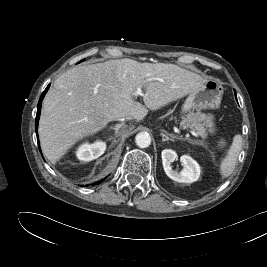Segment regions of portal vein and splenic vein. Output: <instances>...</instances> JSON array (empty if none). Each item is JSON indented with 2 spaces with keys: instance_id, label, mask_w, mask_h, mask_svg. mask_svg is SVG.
Instances as JSON below:
<instances>
[{
  "instance_id": "1",
  "label": "portal vein and splenic vein",
  "mask_w": 267,
  "mask_h": 267,
  "mask_svg": "<svg viewBox=\"0 0 267 267\" xmlns=\"http://www.w3.org/2000/svg\"><path fill=\"white\" fill-rule=\"evenodd\" d=\"M148 81H151V79H146L144 82L146 83V82H148ZM134 95H135V96H136V95L143 96L141 87H138V88L136 89V91L134 92ZM190 133H191L192 135L196 136V137L198 136V134H197L196 132H194V131H190Z\"/></svg>"
}]
</instances>
